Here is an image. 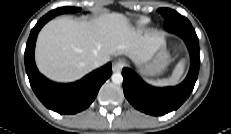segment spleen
I'll list each match as a JSON object with an SVG mask.
<instances>
[{
	"instance_id": "3e777b00",
	"label": "spleen",
	"mask_w": 231,
	"mask_h": 134,
	"mask_svg": "<svg viewBox=\"0 0 231 134\" xmlns=\"http://www.w3.org/2000/svg\"><path fill=\"white\" fill-rule=\"evenodd\" d=\"M185 68V62L184 60H181L177 66L175 67L172 75L170 78L157 80V81H149L150 84L155 86H169V85H175L179 82Z\"/></svg>"
}]
</instances>
